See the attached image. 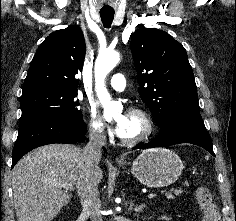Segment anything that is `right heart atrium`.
I'll list each match as a JSON object with an SVG mask.
<instances>
[{"label":"right heart atrium","instance_id":"right-heart-atrium-1","mask_svg":"<svg viewBox=\"0 0 236 221\" xmlns=\"http://www.w3.org/2000/svg\"><path fill=\"white\" fill-rule=\"evenodd\" d=\"M87 125L90 135L96 140H106L111 134L109 127L94 108L88 109Z\"/></svg>","mask_w":236,"mask_h":221}]
</instances>
